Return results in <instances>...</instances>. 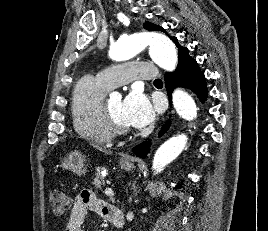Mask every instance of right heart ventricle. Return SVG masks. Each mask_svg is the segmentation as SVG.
<instances>
[{"label": "right heart ventricle", "instance_id": "right-heart-ventricle-1", "mask_svg": "<svg viewBox=\"0 0 268 231\" xmlns=\"http://www.w3.org/2000/svg\"><path fill=\"white\" fill-rule=\"evenodd\" d=\"M110 89L98 78L86 76L77 83L71 100L74 130L97 144H109L114 137L104 112L105 96Z\"/></svg>", "mask_w": 268, "mask_h": 231}]
</instances>
